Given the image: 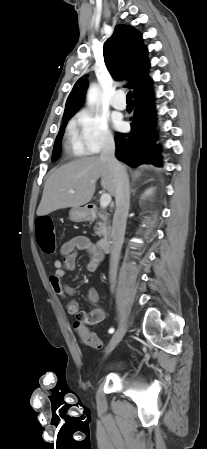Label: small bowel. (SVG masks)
I'll use <instances>...</instances> for the list:
<instances>
[{
	"mask_svg": "<svg viewBox=\"0 0 207 449\" xmlns=\"http://www.w3.org/2000/svg\"><path fill=\"white\" fill-rule=\"evenodd\" d=\"M84 251L87 254L86 268L90 272H95L103 261V253L91 242L87 236L78 235L65 242L60 249L61 259L54 261L55 271L50 278L53 291L61 297L73 296L75 289L68 285L64 278L68 271L76 267L78 252ZM87 300L93 306L90 312L80 311L75 300L69 301L66 305L67 312L76 315L88 325H95L105 320L106 312L98 306L99 294L95 288L87 291Z\"/></svg>",
	"mask_w": 207,
	"mask_h": 449,
	"instance_id": "obj_1",
	"label": "small bowel"
}]
</instances>
